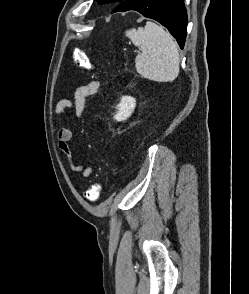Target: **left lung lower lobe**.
<instances>
[{
    "label": "left lung lower lobe",
    "mask_w": 249,
    "mask_h": 294,
    "mask_svg": "<svg viewBox=\"0 0 249 294\" xmlns=\"http://www.w3.org/2000/svg\"><path fill=\"white\" fill-rule=\"evenodd\" d=\"M136 10L165 26L181 49L187 34V14L183 0H124L113 11Z\"/></svg>",
    "instance_id": "0a47b994"
}]
</instances>
